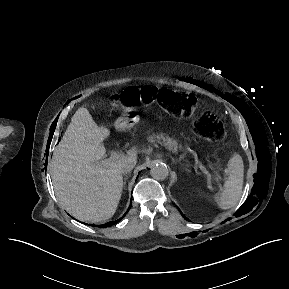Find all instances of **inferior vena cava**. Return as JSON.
Here are the masks:
<instances>
[{
  "label": "inferior vena cava",
  "instance_id": "1",
  "mask_svg": "<svg viewBox=\"0 0 289 289\" xmlns=\"http://www.w3.org/2000/svg\"><path fill=\"white\" fill-rule=\"evenodd\" d=\"M135 165H136V159L135 158H129V159L120 163L119 169H120L121 173L127 174V173L131 172V170L134 168Z\"/></svg>",
  "mask_w": 289,
  "mask_h": 289
}]
</instances>
